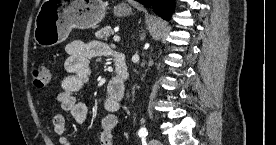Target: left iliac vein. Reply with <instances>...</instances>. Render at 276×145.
Masks as SVG:
<instances>
[{
  "mask_svg": "<svg viewBox=\"0 0 276 145\" xmlns=\"http://www.w3.org/2000/svg\"><path fill=\"white\" fill-rule=\"evenodd\" d=\"M149 145H161V142L157 139H150Z\"/></svg>",
  "mask_w": 276,
  "mask_h": 145,
  "instance_id": "obj_1",
  "label": "left iliac vein"
}]
</instances>
